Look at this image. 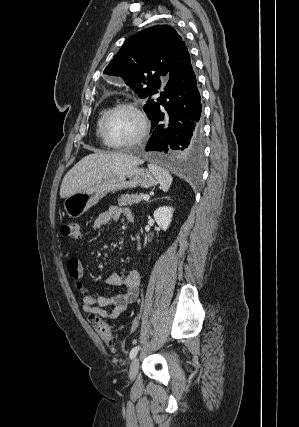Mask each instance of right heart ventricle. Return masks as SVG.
Listing matches in <instances>:
<instances>
[{
	"label": "right heart ventricle",
	"mask_w": 299,
	"mask_h": 427,
	"mask_svg": "<svg viewBox=\"0 0 299 427\" xmlns=\"http://www.w3.org/2000/svg\"><path fill=\"white\" fill-rule=\"evenodd\" d=\"M108 110H109L108 106L103 107L100 110V112L98 114V117H97V120H96V124H95V135H96V138H97V140L99 142H102L101 137H100V125H101V121H102L104 115L106 114V112Z\"/></svg>",
	"instance_id": "obj_1"
}]
</instances>
